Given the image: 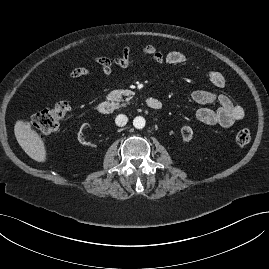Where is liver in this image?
Instances as JSON below:
<instances>
[{
    "label": "liver",
    "mask_w": 269,
    "mask_h": 269,
    "mask_svg": "<svg viewBox=\"0 0 269 269\" xmlns=\"http://www.w3.org/2000/svg\"><path fill=\"white\" fill-rule=\"evenodd\" d=\"M17 142L25 153L37 162H45L47 157L44 140L23 120H17L14 125Z\"/></svg>",
    "instance_id": "obj_1"
}]
</instances>
